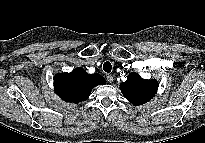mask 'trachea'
I'll return each mask as SVG.
<instances>
[{
    "instance_id": "1",
    "label": "trachea",
    "mask_w": 205,
    "mask_h": 143,
    "mask_svg": "<svg viewBox=\"0 0 205 143\" xmlns=\"http://www.w3.org/2000/svg\"><path fill=\"white\" fill-rule=\"evenodd\" d=\"M103 70H104L105 72H107V73H110L111 70H112V65H111V63H110V62H105V63L103 64Z\"/></svg>"
}]
</instances>
